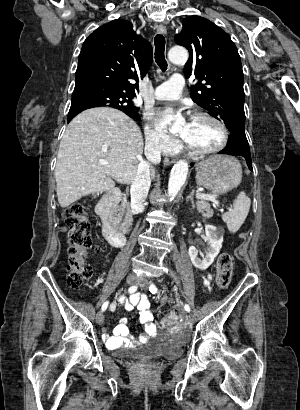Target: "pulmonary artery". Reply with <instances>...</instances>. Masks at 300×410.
Here are the masks:
<instances>
[{"instance_id":"1","label":"pulmonary artery","mask_w":300,"mask_h":410,"mask_svg":"<svg viewBox=\"0 0 300 410\" xmlns=\"http://www.w3.org/2000/svg\"><path fill=\"white\" fill-rule=\"evenodd\" d=\"M184 87V79L180 74L170 76L167 82L154 90L153 97L156 100H172L181 96Z\"/></svg>"}]
</instances>
